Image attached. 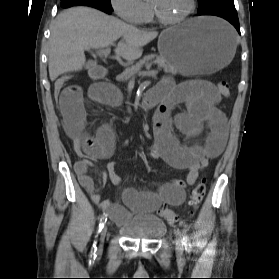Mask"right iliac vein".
Masks as SVG:
<instances>
[{
	"label": "right iliac vein",
	"mask_w": 279,
	"mask_h": 279,
	"mask_svg": "<svg viewBox=\"0 0 279 279\" xmlns=\"http://www.w3.org/2000/svg\"><path fill=\"white\" fill-rule=\"evenodd\" d=\"M106 233H107V227L105 226L102 230H101V234H100V242H101V245L102 246V243L105 239V236H106Z\"/></svg>",
	"instance_id": "obj_1"
}]
</instances>
